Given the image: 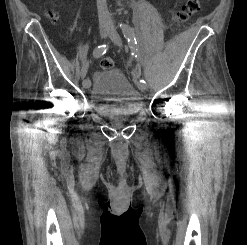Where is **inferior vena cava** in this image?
<instances>
[{"label":"inferior vena cava","mask_w":247,"mask_h":245,"mask_svg":"<svg viewBox=\"0 0 247 245\" xmlns=\"http://www.w3.org/2000/svg\"><path fill=\"white\" fill-rule=\"evenodd\" d=\"M99 24L101 27H110V14L106 0H97Z\"/></svg>","instance_id":"inferior-vena-cava-1"}]
</instances>
